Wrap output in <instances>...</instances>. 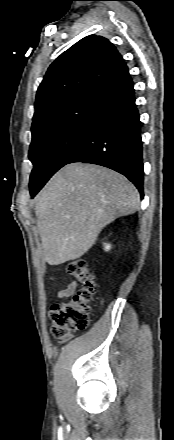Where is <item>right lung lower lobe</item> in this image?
I'll return each instance as SVG.
<instances>
[{
	"label": "right lung lower lobe",
	"instance_id": "1",
	"mask_svg": "<svg viewBox=\"0 0 174 440\" xmlns=\"http://www.w3.org/2000/svg\"><path fill=\"white\" fill-rule=\"evenodd\" d=\"M90 125L75 154L66 162L101 165L125 175L143 198V146L141 122L131 76L96 93ZM43 183L31 190L32 197Z\"/></svg>",
	"mask_w": 174,
	"mask_h": 440
}]
</instances>
